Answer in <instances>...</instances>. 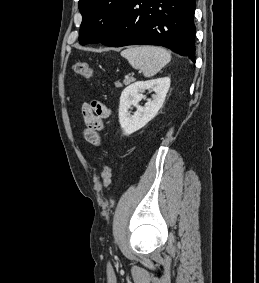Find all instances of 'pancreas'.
<instances>
[{"mask_svg":"<svg viewBox=\"0 0 259 283\" xmlns=\"http://www.w3.org/2000/svg\"><path fill=\"white\" fill-rule=\"evenodd\" d=\"M134 80H135V79H134L133 77L125 78V79L123 80V84H124V85H129V84L132 83ZM116 85H117L118 87H122V83H120V82H117Z\"/></svg>","mask_w":259,"mask_h":283,"instance_id":"obj_1","label":"pancreas"}]
</instances>
